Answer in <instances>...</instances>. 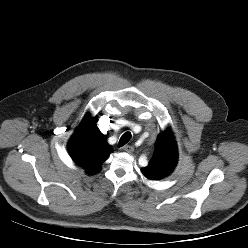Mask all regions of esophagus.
<instances>
[{
    "label": "esophagus",
    "mask_w": 248,
    "mask_h": 248,
    "mask_svg": "<svg viewBox=\"0 0 248 248\" xmlns=\"http://www.w3.org/2000/svg\"><path fill=\"white\" fill-rule=\"evenodd\" d=\"M123 150H124L125 152L132 153V152L134 151V148H133V146H131V145H125V146L123 147Z\"/></svg>",
    "instance_id": "esophagus-1"
}]
</instances>
